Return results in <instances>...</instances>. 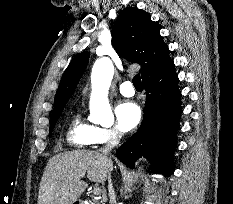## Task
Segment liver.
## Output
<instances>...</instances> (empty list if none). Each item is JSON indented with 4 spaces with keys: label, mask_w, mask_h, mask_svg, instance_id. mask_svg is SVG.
Masks as SVG:
<instances>
[{
    "label": "liver",
    "mask_w": 233,
    "mask_h": 204,
    "mask_svg": "<svg viewBox=\"0 0 233 204\" xmlns=\"http://www.w3.org/2000/svg\"><path fill=\"white\" fill-rule=\"evenodd\" d=\"M113 162L98 151L75 150L49 159L41 178L38 204H73L87 187L81 179L104 183Z\"/></svg>",
    "instance_id": "6515ba94"
}]
</instances>
